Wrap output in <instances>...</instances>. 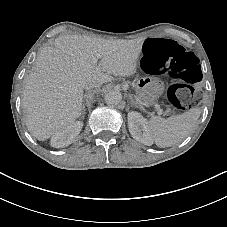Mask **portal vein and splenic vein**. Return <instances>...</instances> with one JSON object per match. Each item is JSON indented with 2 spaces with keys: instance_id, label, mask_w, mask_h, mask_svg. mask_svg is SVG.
Returning a JSON list of instances; mask_svg holds the SVG:
<instances>
[{
  "instance_id": "portal-vein-and-splenic-vein-1",
  "label": "portal vein and splenic vein",
  "mask_w": 227,
  "mask_h": 227,
  "mask_svg": "<svg viewBox=\"0 0 227 227\" xmlns=\"http://www.w3.org/2000/svg\"><path fill=\"white\" fill-rule=\"evenodd\" d=\"M157 113H158V116H159V117H162V116H163V112H162L161 110L158 111Z\"/></svg>"
}]
</instances>
